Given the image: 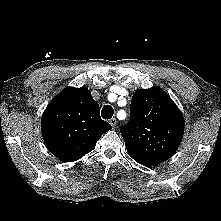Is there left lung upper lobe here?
<instances>
[{
  "label": "left lung upper lobe",
  "mask_w": 221,
  "mask_h": 221,
  "mask_svg": "<svg viewBox=\"0 0 221 221\" xmlns=\"http://www.w3.org/2000/svg\"><path fill=\"white\" fill-rule=\"evenodd\" d=\"M129 125L120 130L127 151L144 166L168 160L178 149L184 132L181 112L158 87L135 91Z\"/></svg>",
  "instance_id": "left-lung-upper-lobe-1"
}]
</instances>
